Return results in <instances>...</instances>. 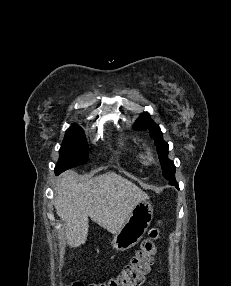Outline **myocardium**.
Instances as JSON below:
<instances>
[{"label": "myocardium", "mask_w": 231, "mask_h": 286, "mask_svg": "<svg viewBox=\"0 0 231 286\" xmlns=\"http://www.w3.org/2000/svg\"><path fill=\"white\" fill-rule=\"evenodd\" d=\"M153 161H154L153 156L149 154L146 157V163L151 164V163H153Z\"/></svg>", "instance_id": "obj_1"}]
</instances>
